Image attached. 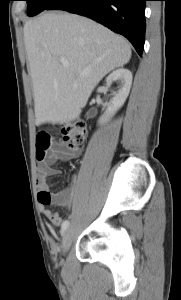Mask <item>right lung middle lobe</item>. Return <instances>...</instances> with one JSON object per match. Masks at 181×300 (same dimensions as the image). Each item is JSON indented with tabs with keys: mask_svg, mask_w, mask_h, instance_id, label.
<instances>
[{
	"mask_svg": "<svg viewBox=\"0 0 181 300\" xmlns=\"http://www.w3.org/2000/svg\"><path fill=\"white\" fill-rule=\"evenodd\" d=\"M28 4V16H35L41 11L49 10L58 0H25Z\"/></svg>",
	"mask_w": 181,
	"mask_h": 300,
	"instance_id": "obj_1",
	"label": "right lung middle lobe"
}]
</instances>
